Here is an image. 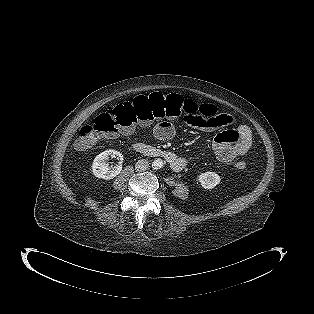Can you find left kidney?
Listing matches in <instances>:
<instances>
[{
    "instance_id": "1",
    "label": "left kidney",
    "mask_w": 314,
    "mask_h": 314,
    "mask_svg": "<svg viewBox=\"0 0 314 314\" xmlns=\"http://www.w3.org/2000/svg\"><path fill=\"white\" fill-rule=\"evenodd\" d=\"M198 181L204 189H213L220 183L221 179L215 172H205L198 176Z\"/></svg>"
}]
</instances>
